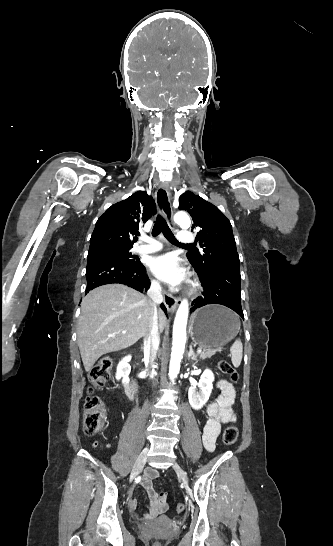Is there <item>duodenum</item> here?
I'll return each mask as SVG.
<instances>
[{"mask_svg":"<svg viewBox=\"0 0 333 546\" xmlns=\"http://www.w3.org/2000/svg\"><path fill=\"white\" fill-rule=\"evenodd\" d=\"M125 390H126L127 395L131 399H135L136 397H138V395L140 393V387H139L138 383L132 378H130L125 383Z\"/></svg>","mask_w":333,"mask_h":546,"instance_id":"obj_1","label":"duodenum"}]
</instances>
